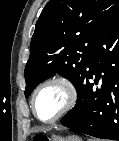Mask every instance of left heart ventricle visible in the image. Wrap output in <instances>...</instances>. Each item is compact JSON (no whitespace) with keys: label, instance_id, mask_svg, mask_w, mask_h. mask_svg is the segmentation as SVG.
Masks as SVG:
<instances>
[{"label":"left heart ventricle","instance_id":"b2bd125f","mask_svg":"<svg viewBox=\"0 0 119 141\" xmlns=\"http://www.w3.org/2000/svg\"><path fill=\"white\" fill-rule=\"evenodd\" d=\"M65 92L59 85H50L40 91L36 98V113L47 120L55 116L63 107Z\"/></svg>","mask_w":119,"mask_h":141}]
</instances>
